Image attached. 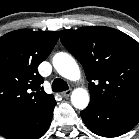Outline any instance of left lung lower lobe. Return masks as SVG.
Returning <instances> with one entry per match:
<instances>
[{
	"label": "left lung lower lobe",
	"instance_id": "0a47b994",
	"mask_svg": "<svg viewBox=\"0 0 139 139\" xmlns=\"http://www.w3.org/2000/svg\"><path fill=\"white\" fill-rule=\"evenodd\" d=\"M87 128L103 137H117L130 131L139 122V99L103 106L90 102L81 111Z\"/></svg>",
	"mask_w": 139,
	"mask_h": 139
}]
</instances>
